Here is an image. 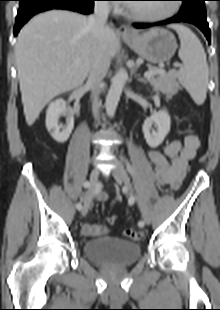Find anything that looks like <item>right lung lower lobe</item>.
I'll use <instances>...</instances> for the list:
<instances>
[{"label":"right lung lower lobe","mask_w":220,"mask_h":310,"mask_svg":"<svg viewBox=\"0 0 220 310\" xmlns=\"http://www.w3.org/2000/svg\"><path fill=\"white\" fill-rule=\"evenodd\" d=\"M20 2L15 21L14 35L35 14L50 9H67L83 14L93 10L95 0H18Z\"/></svg>","instance_id":"obj_1"}]
</instances>
